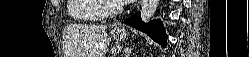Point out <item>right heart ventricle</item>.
<instances>
[{
    "label": "right heart ventricle",
    "instance_id": "1",
    "mask_svg": "<svg viewBox=\"0 0 249 57\" xmlns=\"http://www.w3.org/2000/svg\"><path fill=\"white\" fill-rule=\"evenodd\" d=\"M67 10L69 16L78 21H97L104 17L98 0H69Z\"/></svg>",
    "mask_w": 249,
    "mask_h": 57
}]
</instances>
